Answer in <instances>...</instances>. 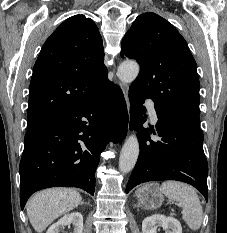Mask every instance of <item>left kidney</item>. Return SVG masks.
Instances as JSON below:
<instances>
[{
	"instance_id": "left-kidney-1",
	"label": "left kidney",
	"mask_w": 227,
	"mask_h": 233,
	"mask_svg": "<svg viewBox=\"0 0 227 233\" xmlns=\"http://www.w3.org/2000/svg\"><path fill=\"white\" fill-rule=\"evenodd\" d=\"M158 226H161L165 230L171 229L170 233H182L181 224L176 218L166 217L159 214H155L143 220L142 232L156 233Z\"/></svg>"
}]
</instances>
